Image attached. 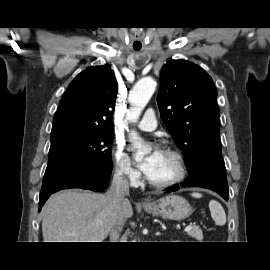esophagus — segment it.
<instances>
[{
	"mask_svg": "<svg viewBox=\"0 0 270 270\" xmlns=\"http://www.w3.org/2000/svg\"><path fill=\"white\" fill-rule=\"evenodd\" d=\"M150 202L149 201H142V205H149Z\"/></svg>",
	"mask_w": 270,
	"mask_h": 270,
	"instance_id": "obj_1",
	"label": "esophagus"
}]
</instances>
